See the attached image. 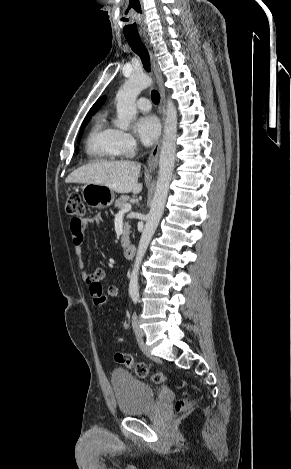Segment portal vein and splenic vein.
<instances>
[{
  "label": "portal vein and splenic vein",
  "mask_w": 291,
  "mask_h": 469,
  "mask_svg": "<svg viewBox=\"0 0 291 469\" xmlns=\"http://www.w3.org/2000/svg\"><path fill=\"white\" fill-rule=\"evenodd\" d=\"M130 210H131V205H130V204H126V205L121 209L120 213L123 214V213H126V212L130 211Z\"/></svg>",
  "instance_id": "obj_1"
}]
</instances>
